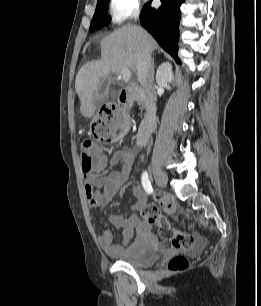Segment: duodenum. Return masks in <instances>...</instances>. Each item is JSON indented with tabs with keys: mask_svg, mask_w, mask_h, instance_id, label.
I'll use <instances>...</instances> for the list:
<instances>
[{
	"mask_svg": "<svg viewBox=\"0 0 261 306\" xmlns=\"http://www.w3.org/2000/svg\"><path fill=\"white\" fill-rule=\"evenodd\" d=\"M118 100L119 103L124 106L130 105L133 101H142L144 103L145 114L137 134V143L143 145L156 124V105L147 98L145 92L141 88L134 86L124 88L119 93Z\"/></svg>",
	"mask_w": 261,
	"mask_h": 306,
	"instance_id": "1",
	"label": "duodenum"
}]
</instances>
